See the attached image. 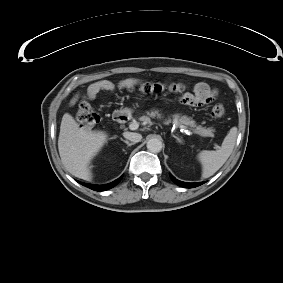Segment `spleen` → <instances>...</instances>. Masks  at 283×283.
Returning a JSON list of instances; mask_svg holds the SVG:
<instances>
[{
	"instance_id": "spleen-1",
	"label": "spleen",
	"mask_w": 283,
	"mask_h": 283,
	"mask_svg": "<svg viewBox=\"0 0 283 283\" xmlns=\"http://www.w3.org/2000/svg\"><path fill=\"white\" fill-rule=\"evenodd\" d=\"M237 136V128L233 127L225 137L222 147L217 151H205L203 153V163L207 177L213 175L228 159L233 151Z\"/></svg>"
}]
</instances>
